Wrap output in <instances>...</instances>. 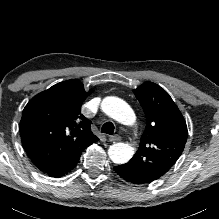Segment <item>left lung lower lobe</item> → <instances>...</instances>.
Returning <instances> with one entry per match:
<instances>
[{
	"label": "left lung lower lobe",
	"instance_id": "obj_1",
	"mask_svg": "<svg viewBox=\"0 0 219 219\" xmlns=\"http://www.w3.org/2000/svg\"><path fill=\"white\" fill-rule=\"evenodd\" d=\"M114 170L121 178L132 182L133 184H144L156 180L155 178H151L139 173L138 171L126 166L125 164L115 166Z\"/></svg>",
	"mask_w": 219,
	"mask_h": 219
}]
</instances>
